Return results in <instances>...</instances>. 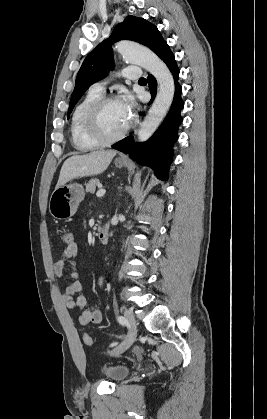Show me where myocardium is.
Instances as JSON below:
<instances>
[{
    "label": "myocardium",
    "mask_w": 267,
    "mask_h": 419,
    "mask_svg": "<svg viewBox=\"0 0 267 419\" xmlns=\"http://www.w3.org/2000/svg\"><path fill=\"white\" fill-rule=\"evenodd\" d=\"M119 101L116 96H102L97 99L88 109L85 116V128L89 136L101 145L111 144L121 140L129 131L131 121L116 135H107L104 133L100 123V117L103 109L112 102Z\"/></svg>",
    "instance_id": "f54148a6"
}]
</instances>
